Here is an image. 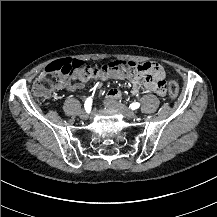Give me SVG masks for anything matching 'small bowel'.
Wrapping results in <instances>:
<instances>
[{"label": "small bowel", "mask_w": 217, "mask_h": 217, "mask_svg": "<svg viewBox=\"0 0 217 217\" xmlns=\"http://www.w3.org/2000/svg\"><path fill=\"white\" fill-rule=\"evenodd\" d=\"M77 79V82L72 86L73 89H81L85 86V84L90 80L95 81H108V80H125L128 76L125 72L120 70H104V69H96L92 74L85 75V74H78L74 75ZM67 78L64 75L59 77V87H62L66 84ZM146 87L151 90L152 92L163 95L165 89L162 85L158 84H147ZM138 89L136 87L133 88V94H136ZM122 96V91L118 88L109 89L106 93V99L111 101L118 99Z\"/></svg>", "instance_id": "small-bowel-1"}]
</instances>
